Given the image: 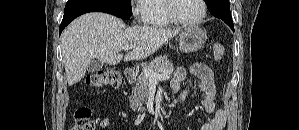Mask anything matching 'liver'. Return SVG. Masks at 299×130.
I'll return each mask as SVG.
<instances>
[{
	"label": "liver",
	"mask_w": 299,
	"mask_h": 130,
	"mask_svg": "<svg viewBox=\"0 0 299 130\" xmlns=\"http://www.w3.org/2000/svg\"><path fill=\"white\" fill-rule=\"evenodd\" d=\"M180 33V29L134 26L125 28L119 18L100 12L84 14L71 22L61 35L66 78L72 86L84 78L93 59L118 64L123 46H132L124 61L144 59Z\"/></svg>",
	"instance_id": "obj_1"
}]
</instances>
